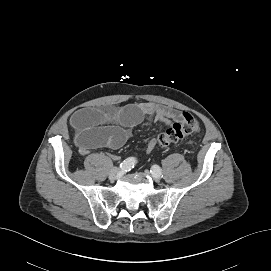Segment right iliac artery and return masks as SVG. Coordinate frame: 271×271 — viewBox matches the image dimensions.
<instances>
[{
  "label": "right iliac artery",
  "mask_w": 271,
  "mask_h": 271,
  "mask_svg": "<svg viewBox=\"0 0 271 271\" xmlns=\"http://www.w3.org/2000/svg\"><path fill=\"white\" fill-rule=\"evenodd\" d=\"M135 164L136 159L134 157H129L120 164V168L123 171H130Z\"/></svg>",
  "instance_id": "right-iliac-artery-1"
}]
</instances>
